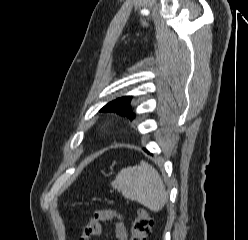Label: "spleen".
Wrapping results in <instances>:
<instances>
[{"label":"spleen","mask_w":248,"mask_h":240,"mask_svg":"<svg viewBox=\"0 0 248 240\" xmlns=\"http://www.w3.org/2000/svg\"><path fill=\"white\" fill-rule=\"evenodd\" d=\"M122 196L137 201L154 212L162 210L168 196L157 170L145 161L122 169L111 183Z\"/></svg>","instance_id":"obj_1"}]
</instances>
